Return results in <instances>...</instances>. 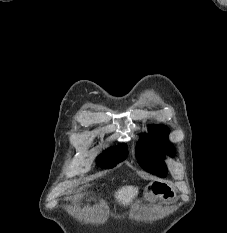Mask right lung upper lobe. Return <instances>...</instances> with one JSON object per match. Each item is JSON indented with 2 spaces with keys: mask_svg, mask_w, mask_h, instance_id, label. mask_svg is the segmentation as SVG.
I'll use <instances>...</instances> for the list:
<instances>
[{
  "mask_svg": "<svg viewBox=\"0 0 227 233\" xmlns=\"http://www.w3.org/2000/svg\"><path fill=\"white\" fill-rule=\"evenodd\" d=\"M123 146L127 148L126 144H123Z\"/></svg>",
  "mask_w": 227,
  "mask_h": 233,
  "instance_id": "right-lung-upper-lobe-1",
  "label": "right lung upper lobe"
}]
</instances>
